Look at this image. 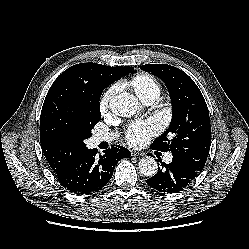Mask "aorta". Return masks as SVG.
Segmentation results:
<instances>
[{
  "label": "aorta",
  "instance_id": "1",
  "mask_svg": "<svg viewBox=\"0 0 249 249\" xmlns=\"http://www.w3.org/2000/svg\"><path fill=\"white\" fill-rule=\"evenodd\" d=\"M109 106L114 114L129 118L139 109V102L132 94L122 93L111 99ZM138 169L142 175L152 177L157 173L158 164L153 157H145L139 161Z\"/></svg>",
  "mask_w": 249,
  "mask_h": 249
}]
</instances>
